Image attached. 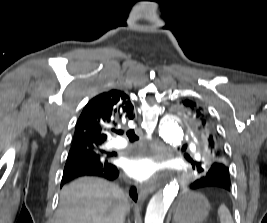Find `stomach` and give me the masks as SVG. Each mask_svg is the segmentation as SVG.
<instances>
[{
	"mask_svg": "<svg viewBox=\"0 0 267 223\" xmlns=\"http://www.w3.org/2000/svg\"><path fill=\"white\" fill-rule=\"evenodd\" d=\"M210 204L197 192L184 194L178 201L173 215L175 223H202L208 217Z\"/></svg>",
	"mask_w": 267,
	"mask_h": 223,
	"instance_id": "stomach-1",
	"label": "stomach"
}]
</instances>
